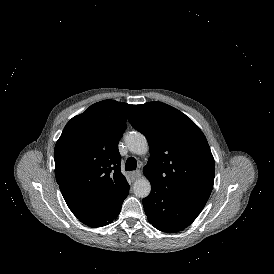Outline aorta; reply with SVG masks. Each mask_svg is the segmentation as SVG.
<instances>
[{"mask_svg": "<svg viewBox=\"0 0 274 274\" xmlns=\"http://www.w3.org/2000/svg\"><path fill=\"white\" fill-rule=\"evenodd\" d=\"M127 148L134 154L147 153L149 146L146 137L139 132H130L124 137ZM151 184L145 177L137 179L133 184V192L136 197L145 198L150 194Z\"/></svg>", "mask_w": 274, "mask_h": 274, "instance_id": "aorta-1", "label": "aorta"}]
</instances>
